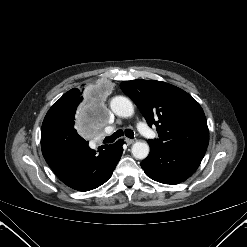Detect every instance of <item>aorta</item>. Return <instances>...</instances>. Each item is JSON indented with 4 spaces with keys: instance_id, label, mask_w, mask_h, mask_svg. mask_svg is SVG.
<instances>
[{
    "instance_id": "1",
    "label": "aorta",
    "mask_w": 247,
    "mask_h": 247,
    "mask_svg": "<svg viewBox=\"0 0 247 247\" xmlns=\"http://www.w3.org/2000/svg\"><path fill=\"white\" fill-rule=\"evenodd\" d=\"M111 110L120 117L128 118L134 114L132 102L124 96H116L110 102ZM149 145L145 141H136L131 152L136 159H145L149 154Z\"/></svg>"
}]
</instances>
